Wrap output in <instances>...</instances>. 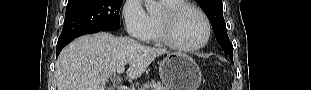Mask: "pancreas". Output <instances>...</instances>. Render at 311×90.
<instances>
[{"mask_svg": "<svg viewBox=\"0 0 311 90\" xmlns=\"http://www.w3.org/2000/svg\"><path fill=\"white\" fill-rule=\"evenodd\" d=\"M140 90H168L166 87H163L160 82L155 83L153 80L143 84Z\"/></svg>", "mask_w": 311, "mask_h": 90, "instance_id": "cf45deb5", "label": "pancreas"}]
</instances>
